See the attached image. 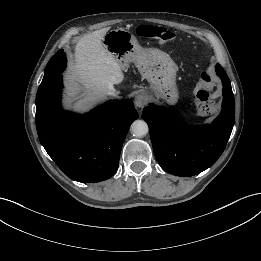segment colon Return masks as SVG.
<instances>
[{
    "mask_svg": "<svg viewBox=\"0 0 261 261\" xmlns=\"http://www.w3.org/2000/svg\"><path fill=\"white\" fill-rule=\"evenodd\" d=\"M138 35L156 40L162 44L170 43L174 40L175 34L165 28L151 25H141L137 29ZM205 57L208 58L209 54L206 53ZM196 98L200 103L201 111L205 115H211L215 112V103L212 98L214 95L215 76L208 71L202 72L197 79Z\"/></svg>",
    "mask_w": 261,
    "mask_h": 261,
    "instance_id": "1",
    "label": "colon"
}]
</instances>
